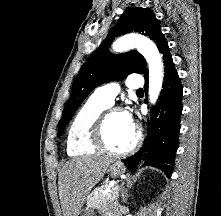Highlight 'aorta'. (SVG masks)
I'll return each instance as SVG.
<instances>
[{"instance_id":"aorta-1","label":"aorta","mask_w":221,"mask_h":216,"mask_svg":"<svg viewBox=\"0 0 221 216\" xmlns=\"http://www.w3.org/2000/svg\"><path fill=\"white\" fill-rule=\"evenodd\" d=\"M112 48L118 53L136 48L144 56L149 68V99L154 104L162 89L164 76L161 55L156 45L145 36L127 34L118 38Z\"/></svg>"}]
</instances>
